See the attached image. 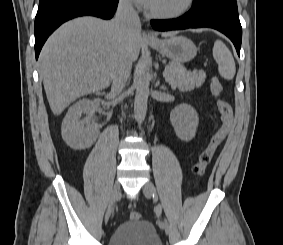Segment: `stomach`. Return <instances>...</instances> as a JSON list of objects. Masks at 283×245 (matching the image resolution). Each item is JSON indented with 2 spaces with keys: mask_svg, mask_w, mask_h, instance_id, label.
<instances>
[{
  "mask_svg": "<svg viewBox=\"0 0 283 245\" xmlns=\"http://www.w3.org/2000/svg\"><path fill=\"white\" fill-rule=\"evenodd\" d=\"M149 45L175 63H185L192 60L197 53L195 44L184 36H172L158 40Z\"/></svg>",
  "mask_w": 283,
  "mask_h": 245,
  "instance_id": "obj_1",
  "label": "stomach"
}]
</instances>
